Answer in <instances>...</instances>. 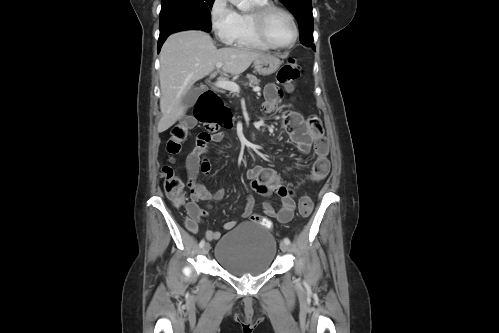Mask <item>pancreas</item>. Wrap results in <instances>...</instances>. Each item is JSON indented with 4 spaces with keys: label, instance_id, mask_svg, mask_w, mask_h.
Returning a JSON list of instances; mask_svg holds the SVG:
<instances>
[{
    "label": "pancreas",
    "instance_id": "obj_1",
    "mask_svg": "<svg viewBox=\"0 0 499 333\" xmlns=\"http://www.w3.org/2000/svg\"><path fill=\"white\" fill-rule=\"evenodd\" d=\"M246 78L249 80V85L250 86L254 87V86H258L259 85L260 80L257 79V77L255 75L247 74Z\"/></svg>",
    "mask_w": 499,
    "mask_h": 333
}]
</instances>
